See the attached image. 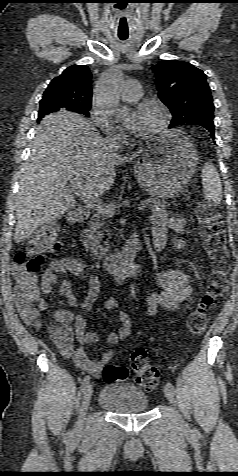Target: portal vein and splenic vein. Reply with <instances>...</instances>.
I'll list each match as a JSON object with an SVG mask.
<instances>
[{"label":"portal vein and splenic vein","mask_w":238,"mask_h":476,"mask_svg":"<svg viewBox=\"0 0 238 476\" xmlns=\"http://www.w3.org/2000/svg\"><path fill=\"white\" fill-rule=\"evenodd\" d=\"M70 183L75 194L80 197L88 206L95 209L99 214L107 217H112L115 214L114 205H108L104 203L81 178L73 177L70 179ZM146 207L147 202L142 201L137 209L139 211H144Z\"/></svg>","instance_id":"18ae733b"}]
</instances>
